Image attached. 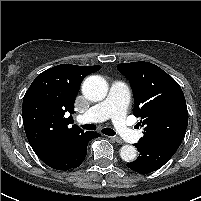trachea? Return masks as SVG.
Segmentation results:
<instances>
[{
  "mask_svg": "<svg viewBox=\"0 0 201 201\" xmlns=\"http://www.w3.org/2000/svg\"><path fill=\"white\" fill-rule=\"evenodd\" d=\"M83 129H87V130H95L96 127L93 124H84L82 125ZM102 133L108 136H114L116 135V132L110 128H104L102 129Z\"/></svg>",
  "mask_w": 201,
  "mask_h": 201,
  "instance_id": "obj_1",
  "label": "trachea"
}]
</instances>
